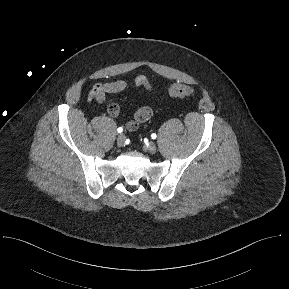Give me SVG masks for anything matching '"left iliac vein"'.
Wrapping results in <instances>:
<instances>
[{"label":"left iliac vein","instance_id":"4c4485c4","mask_svg":"<svg viewBox=\"0 0 289 289\" xmlns=\"http://www.w3.org/2000/svg\"><path fill=\"white\" fill-rule=\"evenodd\" d=\"M147 150H148L150 153L154 154V153L157 151V147H156L155 143H154V142H149V143L147 144Z\"/></svg>","mask_w":289,"mask_h":289}]
</instances>
